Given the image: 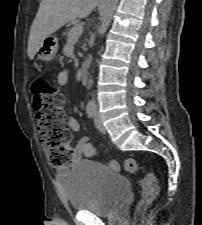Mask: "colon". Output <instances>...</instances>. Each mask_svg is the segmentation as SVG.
Returning a JSON list of instances; mask_svg holds the SVG:
<instances>
[{
	"instance_id": "obj_1",
	"label": "colon",
	"mask_w": 202,
	"mask_h": 225,
	"mask_svg": "<svg viewBox=\"0 0 202 225\" xmlns=\"http://www.w3.org/2000/svg\"><path fill=\"white\" fill-rule=\"evenodd\" d=\"M32 91L35 98V127L40 142L49 162L59 171L69 168L71 163V131L64 116V98L54 84L40 77L33 82ZM110 166L119 169L117 160H111ZM124 170L128 173L138 171V162L134 158L124 161ZM140 199L136 206V220L156 200L159 188L156 177L146 173L139 181Z\"/></svg>"
}]
</instances>
